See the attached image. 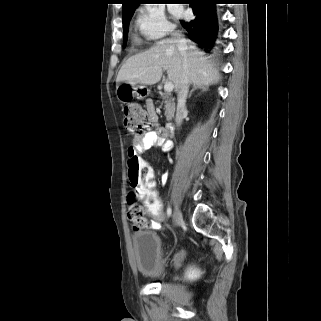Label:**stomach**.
Segmentation results:
<instances>
[{
    "label": "stomach",
    "instance_id": "stomach-1",
    "mask_svg": "<svg viewBox=\"0 0 321 321\" xmlns=\"http://www.w3.org/2000/svg\"><path fill=\"white\" fill-rule=\"evenodd\" d=\"M149 92L146 86L123 83L117 87L116 96L120 102L127 103L134 97L143 99L149 95Z\"/></svg>",
    "mask_w": 321,
    "mask_h": 321
}]
</instances>
